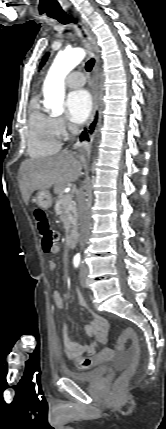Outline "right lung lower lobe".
Listing matches in <instances>:
<instances>
[{"instance_id": "1", "label": "right lung lower lobe", "mask_w": 166, "mask_h": 429, "mask_svg": "<svg viewBox=\"0 0 166 429\" xmlns=\"http://www.w3.org/2000/svg\"><path fill=\"white\" fill-rule=\"evenodd\" d=\"M96 122H97V120L95 119V120L93 121V123L90 125L89 130H88V133H92V132L94 131V128H95ZM88 133H87V131H86V129H85V131H83V132H82V134H81V136H80L81 140H85V139H87V140L89 141Z\"/></svg>"}]
</instances>
